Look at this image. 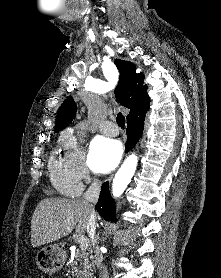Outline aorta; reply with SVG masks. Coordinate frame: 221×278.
Masks as SVG:
<instances>
[{"instance_id": "1", "label": "aorta", "mask_w": 221, "mask_h": 278, "mask_svg": "<svg viewBox=\"0 0 221 278\" xmlns=\"http://www.w3.org/2000/svg\"><path fill=\"white\" fill-rule=\"evenodd\" d=\"M137 162V156L134 154L130 155L116 173L112 183V193L114 197L121 196L127 188L136 171Z\"/></svg>"}]
</instances>
